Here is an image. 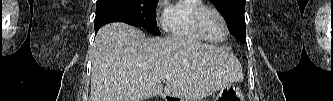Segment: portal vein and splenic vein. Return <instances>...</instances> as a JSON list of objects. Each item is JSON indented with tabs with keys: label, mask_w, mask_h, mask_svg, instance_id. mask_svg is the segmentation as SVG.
I'll list each match as a JSON object with an SVG mask.
<instances>
[{
	"label": "portal vein and splenic vein",
	"mask_w": 333,
	"mask_h": 101,
	"mask_svg": "<svg viewBox=\"0 0 333 101\" xmlns=\"http://www.w3.org/2000/svg\"><path fill=\"white\" fill-rule=\"evenodd\" d=\"M164 78H165L166 80H170V79H171V74H166V75H164Z\"/></svg>",
	"instance_id": "portal-vein-and-splenic-vein-1"
}]
</instances>
